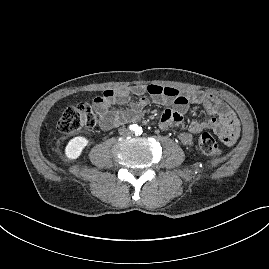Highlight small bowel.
Returning a JSON list of instances; mask_svg holds the SVG:
<instances>
[{
  "label": "small bowel",
  "mask_w": 269,
  "mask_h": 269,
  "mask_svg": "<svg viewBox=\"0 0 269 269\" xmlns=\"http://www.w3.org/2000/svg\"><path fill=\"white\" fill-rule=\"evenodd\" d=\"M132 95L139 98L131 102ZM150 100L159 105L171 106L161 115L159 127L162 130L179 127L191 104L201 105L205 109L207 114L205 119L191 121L188 131L179 134V139L185 146H191L193 135L203 130H212L228 146L235 144L239 137L240 124L234 112L217 96L205 92L190 91L182 94L172 87L136 85L126 89H107L94 99L93 105L102 117L101 128L110 130L140 119ZM125 104H129L128 109L124 111L115 109L116 105Z\"/></svg>",
  "instance_id": "small-bowel-1"
}]
</instances>
